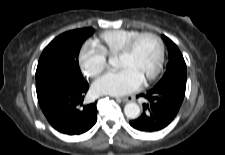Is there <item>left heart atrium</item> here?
<instances>
[{"instance_id": "obj_1", "label": "left heart atrium", "mask_w": 225, "mask_h": 155, "mask_svg": "<svg viewBox=\"0 0 225 155\" xmlns=\"http://www.w3.org/2000/svg\"><path fill=\"white\" fill-rule=\"evenodd\" d=\"M143 80L131 69L108 72L92 85L95 95L122 96L138 90Z\"/></svg>"}]
</instances>
